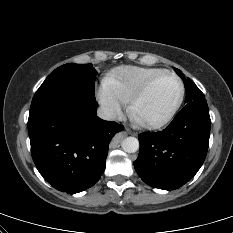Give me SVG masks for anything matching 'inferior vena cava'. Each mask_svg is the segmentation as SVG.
<instances>
[{"label": "inferior vena cava", "instance_id": "602c4592", "mask_svg": "<svg viewBox=\"0 0 233 233\" xmlns=\"http://www.w3.org/2000/svg\"><path fill=\"white\" fill-rule=\"evenodd\" d=\"M97 115L103 120H115L117 118V113L108 106H101L97 110Z\"/></svg>", "mask_w": 233, "mask_h": 233}]
</instances>
